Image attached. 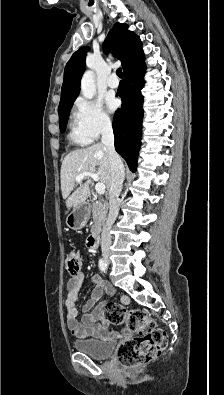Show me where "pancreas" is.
Wrapping results in <instances>:
<instances>
[{
    "mask_svg": "<svg viewBox=\"0 0 224 395\" xmlns=\"http://www.w3.org/2000/svg\"><path fill=\"white\" fill-rule=\"evenodd\" d=\"M108 211L107 202L104 200H97L91 204L92 218L94 221V226L92 231L96 230V227L102 226L105 222L106 215Z\"/></svg>",
    "mask_w": 224,
    "mask_h": 395,
    "instance_id": "pancreas-1",
    "label": "pancreas"
}]
</instances>
